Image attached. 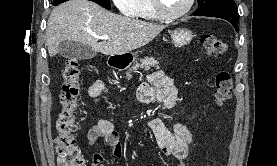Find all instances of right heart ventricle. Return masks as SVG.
Wrapping results in <instances>:
<instances>
[{
	"label": "right heart ventricle",
	"mask_w": 277,
	"mask_h": 166,
	"mask_svg": "<svg viewBox=\"0 0 277 166\" xmlns=\"http://www.w3.org/2000/svg\"><path fill=\"white\" fill-rule=\"evenodd\" d=\"M132 16L144 21L152 22L159 20L151 0H140L138 7Z\"/></svg>",
	"instance_id": "obj_1"
}]
</instances>
